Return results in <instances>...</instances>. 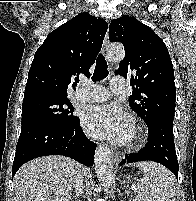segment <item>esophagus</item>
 I'll return each mask as SVG.
<instances>
[{"instance_id":"34e87169","label":"esophagus","mask_w":196,"mask_h":201,"mask_svg":"<svg viewBox=\"0 0 196 201\" xmlns=\"http://www.w3.org/2000/svg\"><path fill=\"white\" fill-rule=\"evenodd\" d=\"M109 25V22H108ZM109 44V37H108V32L105 35L104 41H103V45H102V53L106 56L107 53V47ZM113 158H114V162L119 163L122 159V155L119 153H113Z\"/></svg>"}]
</instances>
